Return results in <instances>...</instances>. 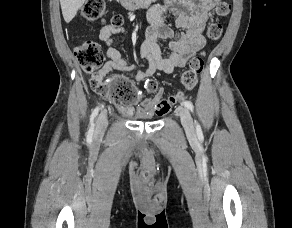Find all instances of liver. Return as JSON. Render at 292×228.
Here are the masks:
<instances>
[{
  "mask_svg": "<svg viewBox=\"0 0 292 228\" xmlns=\"http://www.w3.org/2000/svg\"><path fill=\"white\" fill-rule=\"evenodd\" d=\"M88 0H60L63 18L69 23L77 14V11Z\"/></svg>",
  "mask_w": 292,
  "mask_h": 228,
  "instance_id": "obj_1",
  "label": "liver"
}]
</instances>
